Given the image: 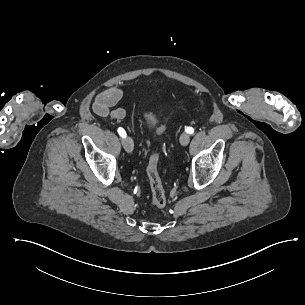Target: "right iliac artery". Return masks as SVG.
Segmentation results:
<instances>
[{
    "label": "right iliac artery",
    "instance_id": "right-iliac-artery-1",
    "mask_svg": "<svg viewBox=\"0 0 305 305\" xmlns=\"http://www.w3.org/2000/svg\"><path fill=\"white\" fill-rule=\"evenodd\" d=\"M118 133L121 137L125 138L126 137V132L123 128L119 127L118 128Z\"/></svg>",
    "mask_w": 305,
    "mask_h": 305
}]
</instances>
